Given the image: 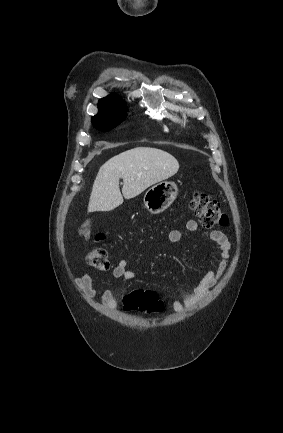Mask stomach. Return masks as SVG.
I'll return each instance as SVG.
<instances>
[{"label": "stomach", "mask_w": 283, "mask_h": 433, "mask_svg": "<svg viewBox=\"0 0 283 433\" xmlns=\"http://www.w3.org/2000/svg\"><path fill=\"white\" fill-rule=\"evenodd\" d=\"M178 194V186L175 182H168V180H160L151 188H148L144 196V204L150 212L158 214L168 208L175 200Z\"/></svg>", "instance_id": "1"}]
</instances>
